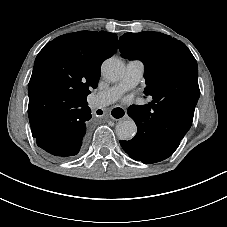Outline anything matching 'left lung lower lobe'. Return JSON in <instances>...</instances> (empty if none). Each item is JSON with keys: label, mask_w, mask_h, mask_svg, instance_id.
<instances>
[{"label": "left lung lower lobe", "mask_w": 227, "mask_h": 227, "mask_svg": "<svg viewBox=\"0 0 227 227\" xmlns=\"http://www.w3.org/2000/svg\"><path fill=\"white\" fill-rule=\"evenodd\" d=\"M185 94L181 99L153 101L133 105L128 115L137 125L136 136L120 141L123 150L134 160L156 163L171 156L191 127L198 98Z\"/></svg>", "instance_id": "1"}]
</instances>
